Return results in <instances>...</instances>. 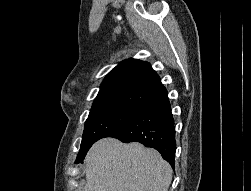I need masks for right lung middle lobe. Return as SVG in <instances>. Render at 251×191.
Listing matches in <instances>:
<instances>
[{
  "instance_id": "dd1d6c3e",
  "label": "right lung middle lobe",
  "mask_w": 251,
  "mask_h": 191,
  "mask_svg": "<svg viewBox=\"0 0 251 191\" xmlns=\"http://www.w3.org/2000/svg\"><path fill=\"white\" fill-rule=\"evenodd\" d=\"M142 109L132 106L109 104L93 107L85 122L80 151L75 163H83L90 147L99 139L107 137Z\"/></svg>"
}]
</instances>
